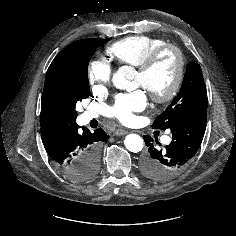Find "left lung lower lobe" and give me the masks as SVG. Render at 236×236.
<instances>
[{"mask_svg": "<svg viewBox=\"0 0 236 236\" xmlns=\"http://www.w3.org/2000/svg\"><path fill=\"white\" fill-rule=\"evenodd\" d=\"M207 109L195 110L178 119L169 129L172 141L164 148L148 135V151L141 159L142 174L154 181H168L180 174L199 149L206 128Z\"/></svg>", "mask_w": 236, "mask_h": 236, "instance_id": "obj_1", "label": "left lung lower lobe"}]
</instances>
